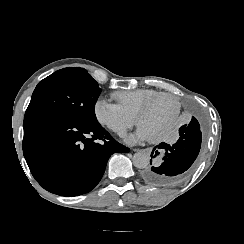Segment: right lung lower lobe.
I'll return each instance as SVG.
<instances>
[{
    "label": "right lung lower lobe",
    "mask_w": 244,
    "mask_h": 244,
    "mask_svg": "<svg viewBox=\"0 0 244 244\" xmlns=\"http://www.w3.org/2000/svg\"><path fill=\"white\" fill-rule=\"evenodd\" d=\"M99 140L104 143H98ZM98 123L49 111H26L23 153L37 182L61 196L91 191L114 152H129Z\"/></svg>",
    "instance_id": "obj_1"
}]
</instances>
